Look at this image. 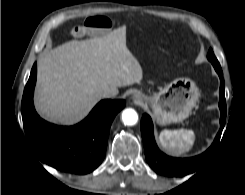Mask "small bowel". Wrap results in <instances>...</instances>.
<instances>
[{"label":"small bowel","mask_w":245,"mask_h":195,"mask_svg":"<svg viewBox=\"0 0 245 195\" xmlns=\"http://www.w3.org/2000/svg\"><path fill=\"white\" fill-rule=\"evenodd\" d=\"M110 27L111 21L107 17L95 15L86 18L82 25L74 27L72 34L75 36H82L87 33L98 34L108 30Z\"/></svg>","instance_id":"small-bowel-1"}]
</instances>
